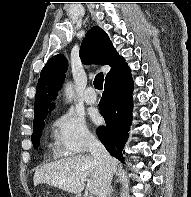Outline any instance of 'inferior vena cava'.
Here are the masks:
<instances>
[{
    "label": "inferior vena cava",
    "instance_id": "602c4592",
    "mask_svg": "<svg viewBox=\"0 0 191 197\" xmlns=\"http://www.w3.org/2000/svg\"><path fill=\"white\" fill-rule=\"evenodd\" d=\"M88 149L103 169V180L98 197H109L114 172L113 158L107 152L104 145L93 135L88 138Z\"/></svg>",
    "mask_w": 191,
    "mask_h": 197
}]
</instances>
